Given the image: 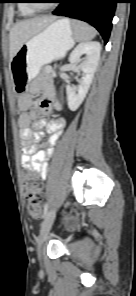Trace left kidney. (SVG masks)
<instances>
[{
    "label": "left kidney",
    "instance_id": "left-kidney-1",
    "mask_svg": "<svg viewBox=\"0 0 136 296\" xmlns=\"http://www.w3.org/2000/svg\"><path fill=\"white\" fill-rule=\"evenodd\" d=\"M101 45L97 41H86L79 43L69 56V62L74 64L79 61L82 55H86V61L81 66L83 75L79 80L78 87L67 85V101L71 111H76L82 104L89 87L92 83L94 73L100 59Z\"/></svg>",
    "mask_w": 136,
    "mask_h": 296
}]
</instances>
